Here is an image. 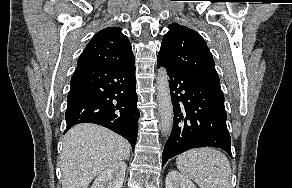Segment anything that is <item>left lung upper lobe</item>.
<instances>
[{"mask_svg": "<svg viewBox=\"0 0 292 188\" xmlns=\"http://www.w3.org/2000/svg\"><path fill=\"white\" fill-rule=\"evenodd\" d=\"M158 61L169 68L220 86L213 56L204 39L194 30L173 23L164 35Z\"/></svg>", "mask_w": 292, "mask_h": 188, "instance_id": "1", "label": "left lung upper lobe"}]
</instances>
